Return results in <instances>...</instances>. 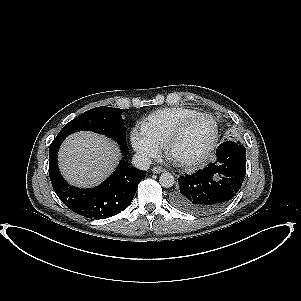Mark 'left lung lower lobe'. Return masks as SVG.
<instances>
[{
	"label": "left lung lower lobe",
	"instance_id": "0a47b994",
	"mask_svg": "<svg viewBox=\"0 0 301 301\" xmlns=\"http://www.w3.org/2000/svg\"><path fill=\"white\" fill-rule=\"evenodd\" d=\"M217 160L193 175L179 178L171 197L177 208L195 214H210L230 203L245 176L246 149L240 142L219 145Z\"/></svg>",
	"mask_w": 301,
	"mask_h": 301
}]
</instances>
